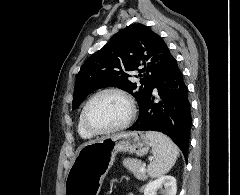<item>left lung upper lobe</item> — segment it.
<instances>
[{
  "label": "left lung upper lobe",
  "mask_w": 240,
  "mask_h": 195,
  "mask_svg": "<svg viewBox=\"0 0 240 195\" xmlns=\"http://www.w3.org/2000/svg\"><path fill=\"white\" fill-rule=\"evenodd\" d=\"M171 57L163 39L147 26L132 24L120 30L81 67L75 83L72 109L93 91L112 86L132 94L141 110L150 87ZM135 70L142 73L138 75L141 85L130 80Z\"/></svg>",
  "instance_id": "1"
}]
</instances>
